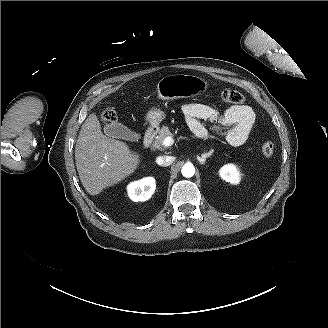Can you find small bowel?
<instances>
[{"label":"small bowel","instance_id":"c3829d8e","mask_svg":"<svg viewBox=\"0 0 328 328\" xmlns=\"http://www.w3.org/2000/svg\"><path fill=\"white\" fill-rule=\"evenodd\" d=\"M182 112L190 130L198 138L206 136L202 120L216 123L217 133L223 135L232 146L244 144L255 122V113L248 105H233L224 113L202 103H188L182 106Z\"/></svg>","mask_w":328,"mask_h":328}]
</instances>
